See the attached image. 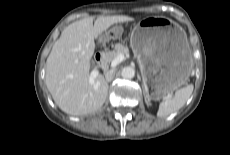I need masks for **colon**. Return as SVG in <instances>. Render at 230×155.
<instances>
[{
	"label": "colon",
	"instance_id": "1",
	"mask_svg": "<svg viewBox=\"0 0 230 155\" xmlns=\"http://www.w3.org/2000/svg\"><path fill=\"white\" fill-rule=\"evenodd\" d=\"M125 34V27L122 24H115L113 29L108 33H101L99 35V44L101 46H108L111 42H118Z\"/></svg>",
	"mask_w": 230,
	"mask_h": 155
}]
</instances>
